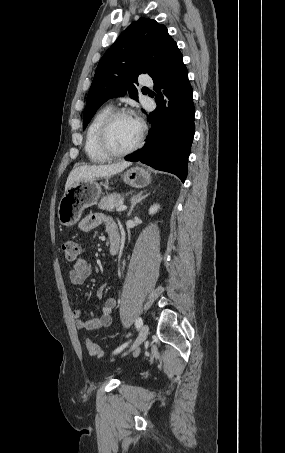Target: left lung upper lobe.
I'll return each mask as SVG.
<instances>
[{
	"instance_id": "obj_1",
	"label": "left lung upper lobe",
	"mask_w": 285,
	"mask_h": 453,
	"mask_svg": "<svg viewBox=\"0 0 285 453\" xmlns=\"http://www.w3.org/2000/svg\"><path fill=\"white\" fill-rule=\"evenodd\" d=\"M177 45L164 25L140 18L128 26L98 63L83 115L85 129L98 108L109 98L124 96L137 100L133 82L141 73L155 75L169 52Z\"/></svg>"
}]
</instances>
